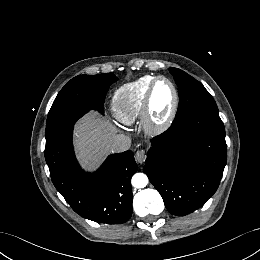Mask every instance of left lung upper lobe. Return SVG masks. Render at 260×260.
<instances>
[{
	"mask_svg": "<svg viewBox=\"0 0 260 260\" xmlns=\"http://www.w3.org/2000/svg\"><path fill=\"white\" fill-rule=\"evenodd\" d=\"M169 71L178 85L180 99L173 123H178L195 112L218 111L213 97L201 83L180 69L169 68Z\"/></svg>",
	"mask_w": 260,
	"mask_h": 260,
	"instance_id": "left-lung-upper-lobe-1",
	"label": "left lung upper lobe"
}]
</instances>
